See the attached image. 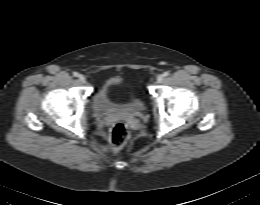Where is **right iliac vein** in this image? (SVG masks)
Here are the masks:
<instances>
[{"label":"right iliac vein","instance_id":"1","mask_svg":"<svg viewBox=\"0 0 260 205\" xmlns=\"http://www.w3.org/2000/svg\"><path fill=\"white\" fill-rule=\"evenodd\" d=\"M78 80H79L81 83H85L86 78H85L84 75H79V76H78Z\"/></svg>","mask_w":260,"mask_h":205}]
</instances>
